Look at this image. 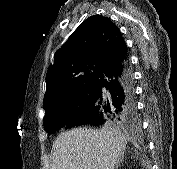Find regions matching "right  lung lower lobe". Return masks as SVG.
<instances>
[{
	"label": "right lung lower lobe",
	"mask_w": 177,
	"mask_h": 169,
	"mask_svg": "<svg viewBox=\"0 0 177 169\" xmlns=\"http://www.w3.org/2000/svg\"><path fill=\"white\" fill-rule=\"evenodd\" d=\"M91 105L63 127L124 123L137 116L134 76L128 55L105 68L95 79Z\"/></svg>",
	"instance_id": "1"
}]
</instances>
